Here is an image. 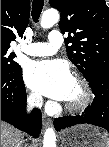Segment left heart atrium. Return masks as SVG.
Returning <instances> with one entry per match:
<instances>
[{"instance_id": "39dd6f15", "label": "left heart atrium", "mask_w": 109, "mask_h": 147, "mask_svg": "<svg viewBox=\"0 0 109 147\" xmlns=\"http://www.w3.org/2000/svg\"><path fill=\"white\" fill-rule=\"evenodd\" d=\"M24 80L38 93L64 101L68 96L73 77L63 61L44 60L28 64L24 70Z\"/></svg>"}]
</instances>
